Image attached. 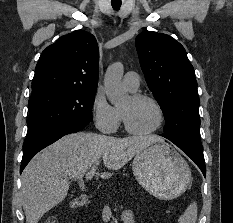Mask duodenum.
Returning <instances> with one entry per match:
<instances>
[{
  "mask_svg": "<svg viewBox=\"0 0 233 223\" xmlns=\"http://www.w3.org/2000/svg\"><path fill=\"white\" fill-rule=\"evenodd\" d=\"M88 202V196L86 194H80L72 200L70 207L72 209L84 206Z\"/></svg>",
  "mask_w": 233,
  "mask_h": 223,
  "instance_id": "duodenum-1",
  "label": "duodenum"
}]
</instances>
